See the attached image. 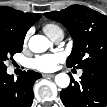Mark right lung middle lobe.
Returning <instances> with one entry per match:
<instances>
[{
  "instance_id": "right-lung-middle-lobe-1",
  "label": "right lung middle lobe",
  "mask_w": 107,
  "mask_h": 107,
  "mask_svg": "<svg viewBox=\"0 0 107 107\" xmlns=\"http://www.w3.org/2000/svg\"><path fill=\"white\" fill-rule=\"evenodd\" d=\"M24 37L13 33L9 28L0 24V69H7L5 61L12 59L15 53L21 52Z\"/></svg>"
}]
</instances>
